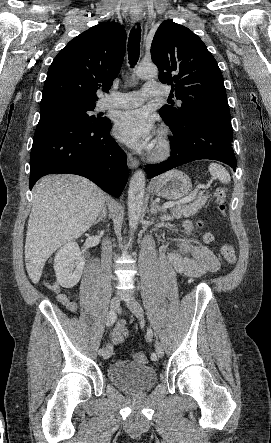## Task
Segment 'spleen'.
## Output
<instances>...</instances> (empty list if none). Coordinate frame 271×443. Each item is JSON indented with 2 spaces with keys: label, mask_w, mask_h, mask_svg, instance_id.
Returning <instances> with one entry per match:
<instances>
[{
  "label": "spleen",
  "mask_w": 271,
  "mask_h": 443,
  "mask_svg": "<svg viewBox=\"0 0 271 443\" xmlns=\"http://www.w3.org/2000/svg\"><path fill=\"white\" fill-rule=\"evenodd\" d=\"M210 176H214V178H219L222 184H229L231 182L230 174H228L227 170L220 166V164H210L209 166Z\"/></svg>",
  "instance_id": "3e777b00"
}]
</instances>
